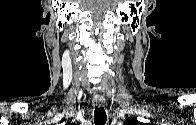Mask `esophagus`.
Segmentation results:
<instances>
[{
  "label": "esophagus",
  "mask_w": 196,
  "mask_h": 125,
  "mask_svg": "<svg viewBox=\"0 0 196 125\" xmlns=\"http://www.w3.org/2000/svg\"><path fill=\"white\" fill-rule=\"evenodd\" d=\"M93 103L97 107H102L104 105V101L102 99H94Z\"/></svg>",
  "instance_id": "esophagus-1"
}]
</instances>
